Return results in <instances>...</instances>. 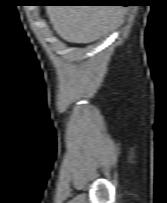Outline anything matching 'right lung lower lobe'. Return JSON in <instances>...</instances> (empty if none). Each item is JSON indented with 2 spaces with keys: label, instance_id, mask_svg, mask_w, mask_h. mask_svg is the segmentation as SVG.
<instances>
[{
  "label": "right lung lower lobe",
  "instance_id": "1",
  "mask_svg": "<svg viewBox=\"0 0 167 203\" xmlns=\"http://www.w3.org/2000/svg\"><path fill=\"white\" fill-rule=\"evenodd\" d=\"M92 1H97V3L95 4H104V5H122L120 4V2L116 1V0H92ZM92 4V3H91ZM94 4V3H93Z\"/></svg>",
  "mask_w": 167,
  "mask_h": 203
}]
</instances>
